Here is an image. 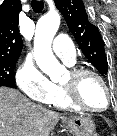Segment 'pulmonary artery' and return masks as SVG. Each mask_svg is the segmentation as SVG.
I'll return each mask as SVG.
<instances>
[{
	"label": "pulmonary artery",
	"mask_w": 117,
	"mask_h": 136,
	"mask_svg": "<svg viewBox=\"0 0 117 136\" xmlns=\"http://www.w3.org/2000/svg\"><path fill=\"white\" fill-rule=\"evenodd\" d=\"M52 49L54 53L69 64H73L76 58V51L74 44L69 37L59 34L55 37Z\"/></svg>",
	"instance_id": "1"
}]
</instances>
